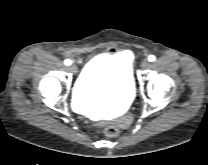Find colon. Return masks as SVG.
I'll return each instance as SVG.
<instances>
[{"mask_svg":"<svg viewBox=\"0 0 208 165\" xmlns=\"http://www.w3.org/2000/svg\"><path fill=\"white\" fill-rule=\"evenodd\" d=\"M103 133L107 137H116L119 135V128L115 125H106L103 129Z\"/></svg>","mask_w":208,"mask_h":165,"instance_id":"5ec220e1","label":"colon"}]
</instances>
